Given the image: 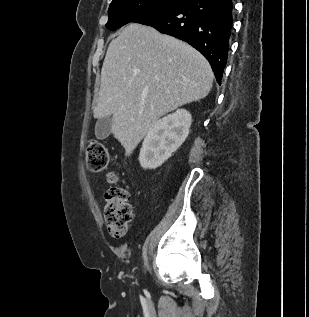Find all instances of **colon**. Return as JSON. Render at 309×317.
Wrapping results in <instances>:
<instances>
[{"instance_id": "obj_1", "label": "colon", "mask_w": 309, "mask_h": 317, "mask_svg": "<svg viewBox=\"0 0 309 317\" xmlns=\"http://www.w3.org/2000/svg\"><path fill=\"white\" fill-rule=\"evenodd\" d=\"M109 164V153L106 146L91 140L86 148V166L92 172H100ZM110 188L105 193L104 221L109 232L115 237H122L132 221V207L127 190L117 184V177L110 173Z\"/></svg>"}]
</instances>
